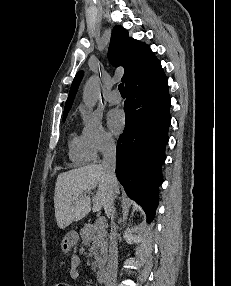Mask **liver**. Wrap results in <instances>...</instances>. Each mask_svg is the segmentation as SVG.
Segmentation results:
<instances>
[{
    "mask_svg": "<svg viewBox=\"0 0 231 286\" xmlns=\"http://www.w3.org/2000/svg\"><path fill=\"white\" fill-rule=\"evenodd\" d=\"M97 189L91 206V192ZM114 196L119 194V185L113 188ZM109 203V183L100 164H90L60 173L54 193V208L57 225L60 229L73 221L84 218L91 209L98 212L106 210Z\"/></svg>",
    "mask_w": 231,
    "mask_h": 286,
    "instance_id": "1",
    "label": "liver"
}]
</instances>
